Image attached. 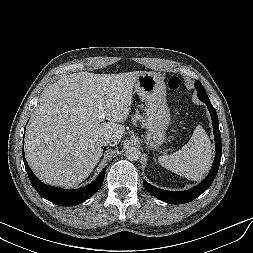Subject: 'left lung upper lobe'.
<instances>
[{"mask_svg": "<svg viewBox=\"0 0 253 253\" xmlns=\"http://www.w3.org/2000/svg\"><path fill=\"white\" fill-rule=\"evenodd\" d=\"M196 89H197V94L198 97L201 101H209V98L207 96V93L204 89V87L202 86V84L199 81H196Z\"/></svg>", "mask_w": 253, "mask_h": 253, "instance_id": "1", "label": "left lung upper lobe"}]
</instances>
